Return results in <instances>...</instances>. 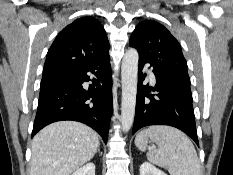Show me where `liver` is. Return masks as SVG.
<instances>
[{
  "instance_id": "6515ba94",
  "label": "liver",
  "mask_w": 233,
  "mask_h": 175,
  "mask_svg": "<svg viewBox=\"0 0 233 175\" xmlns=\"http://www.w3.org/2000/svg\"><path fill=\"white\" fill-rule=\"evenodd\" d=\"M98 146V134L87 125L52 123L33 138L31 175H70L92 159Z\"/></svg>"
}]
</instances>
